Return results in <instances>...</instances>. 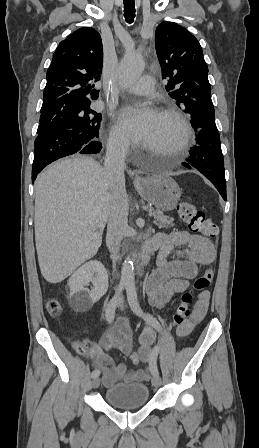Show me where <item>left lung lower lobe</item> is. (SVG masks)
<instances>
[{"label": "left lung lower lobe", "instance_id": "obj_1", "mask_svg": "<svg viewBox=\"0 0 259 448\" xmlns=\"http://www.w3.org/2000/svg\"><path fill=\"white\" fill-rule=\"evenodd\" d=\"M196 133V145L190 149L191 155L182 165L200 171L226 200L224 159L218 129L204 128Z\"/></svg>", "mask_w": 259, "mask_h": 448}]
</instances>
